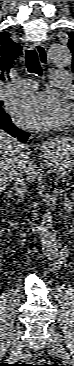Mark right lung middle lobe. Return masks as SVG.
I'll return each instance as SVG.
<instances>
[{
  "mask_svg": "<svg viewBox=\"0 0 74 366\" xmlns=\"http://www.w3.org/2000/svg\"><path fill=\"white\" fill-rule=\"evenodd\" d=\"M1 104H2V102L0 101V117L6 114V113H5V112H3V110L1 109Z\"/></svg>",
  "mask_w": 74,
  "mask_h": 366,
  "instance_id": "obj_1",
  "label": "right lung middle lobe"
}]
</instances>
